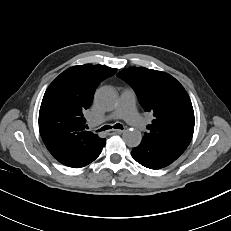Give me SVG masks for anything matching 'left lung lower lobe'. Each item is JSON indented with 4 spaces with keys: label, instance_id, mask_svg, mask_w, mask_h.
<instances>
[{
    "label": "left lung lower lobe",
    "instance_id": "left-lung-lower-lobe-1",
    "mask_svg": "<svg viewBox=\"0 0 231 231\" xmlns=\"http://www.w3.org/2000/svg\"><path fill=\"white\" fill-rule=\"evenodd\" d=\"M183 152L174 147L152 140H142L132 149V157L144 167L160 169L173 163Z\"/></svg>",
    "mask_w": 231,
    "mask_h": 231
}]
</instances>
